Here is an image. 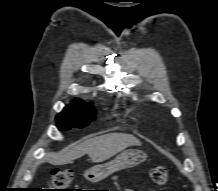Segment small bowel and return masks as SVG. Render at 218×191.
<instances>
[{
  "instance_id": "1",
  "label": "small bowel",
  "mask_w": 218,
  "mask_h": 191,
  "mask_svg": "<svg viewBox=\"0 0 218 191\" xmlns=\"http://www.w3.org/2000/svg\"><path fill=\"white\" fill-rule=\"evenodd\" d=\"M123 191H134V190H132V189H125V190H123Z\"/></svg>"
}]
</instances>
